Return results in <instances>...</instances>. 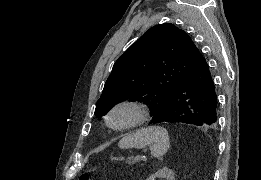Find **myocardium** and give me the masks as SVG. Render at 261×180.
I'll return each mask as SVG.
<instances>
[{
    "label": "myocardium",
    "instance_id": "myocardium-1",
    "mask_svg": "<svg viewBox=\"0 0 261 180\" xmlns=\"http://www.w3.org/2000/svg\"><path fill=\"white\" fill-rule=\"evenodd\" d=\"M123 114V117L120 115ZM146 117V107L136 99L115 102L107 112L106 123L115 131H124L141 124Z\"/></svg>",
    "mask_w": 261,
    "mask_h": 180
}]
</instances>
